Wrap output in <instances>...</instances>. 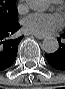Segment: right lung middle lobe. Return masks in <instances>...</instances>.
Returning <instances> with one entry per match:
<instances>
[{
    "instance_id": "right-lung-middle-lobe-1",
    "label": "right lung middle lobe",
    "mask_w": 65,
    "mask_h": 89,
    "mask_svg": "<svg viewBox=\"0 0 65 89\" xmlns=\"http://www.w3.org/2000/svg\"><path fill=\"white\" fill-rule=\"evenodd\" d=\"M17 12L16 0H0V25L17 23Z\"/></svg>"
}]
</instances>
